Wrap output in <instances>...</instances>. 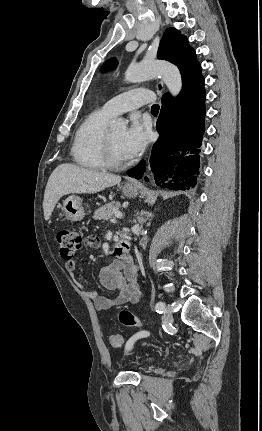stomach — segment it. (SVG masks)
Listing matches in <instances>:
<instances>
[{"instance_id": "stomach-1", "label": "stomach", "mask_w": 262, "mask_h": 431, "mask_svg": "<svg viewBox=\"0 0 262 431\" xmlns=\"http://www.w3.org/2000/svg\"><path fill=\"white\" fill-rule=\"evenodd\" d=\"M123 193L128 198H134L138 195L137 186L125 184L122 188ZM63 210L67 219L72 222L81 221L85 216L82 207V199L79 196L71 195L63 201Z\"/></svg>"}]
</instances>
